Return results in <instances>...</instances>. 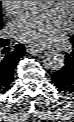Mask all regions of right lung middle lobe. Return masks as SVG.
I'll list each match as a JSON object with an SVG mask.
<instances>
[{
  "mask_svg": "<svg viewBox=\"0 0 74 122\" xmlns=\"http://www.w3.org/2000/svg\"><path fill=\"white\" fill-rule=\"evenodd\" d=\"M0 23H1V16H0ZM0 29H1V26H0Z\"/></svg>",
  "mask_w": 74,
  "mask_h": 122,
  "instance_id": "right-lung-middle-lobe-1",
  "label": "right lung middle lobe"
}]
</instances>
